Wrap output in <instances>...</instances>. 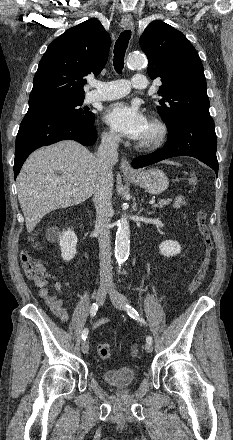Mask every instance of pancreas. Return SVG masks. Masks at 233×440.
<instances>
[{
	"label": "pancreas",
	"instance_id": "obj_1",
	"mask_svg": "<svg viewBox=\"0 0 233 440\" xmlns=\"http://www.w3.org/2000/svg\"><path fill=\"white\" fill-rule=\"evenodd\" d=\"M172 201V199H167V200H159L158 204H155L154 207H164L165 205H169L170 202Z\"/></svg>",
	"mask_w": 233,
	"mask_h": 440
}]
</instances>
